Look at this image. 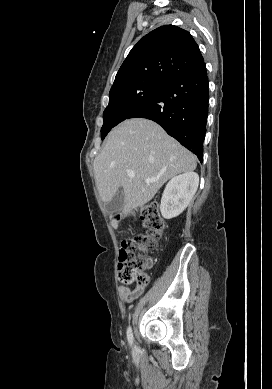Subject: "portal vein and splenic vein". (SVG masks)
Masks as SVG:
<instances>
[{
  "instance_id": "18ae733b",
  "label": "portal vein and splenic vein",
  "mask_w": 272,
  "mask_h": 389,
  "mask_svg": "<svg viewBox=\"0 0 272 389\" xmlns=\"http://www.w3.org/2000/svg\"><path fill=\"white\" fill-rule=\"evenodd\" d=\"M127 175H128L129 177H131V178L135 177L134 171H128V172H127ZM146 182H147V183L153 182V180L147 179Z\"/></svg>"
}]
</instances>
